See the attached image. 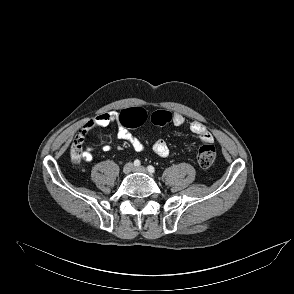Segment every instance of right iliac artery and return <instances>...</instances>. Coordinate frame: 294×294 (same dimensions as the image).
<instances>
[{"label":"right iliac artery","mask_w":294,"mask_h":294,"mask_svg":"<svg viewBox=\"0 0 294 294\" xmlns=\"http://www.w3.org/2000/svg\"><path fill=\"white\" fill-rule=\"evenodd\" d=\"M141 163H140V161L138 160V159H136L135 161H134V165L135 166H139Z\"/></svg>","instance_id":"obj_1"}]
</instances>
